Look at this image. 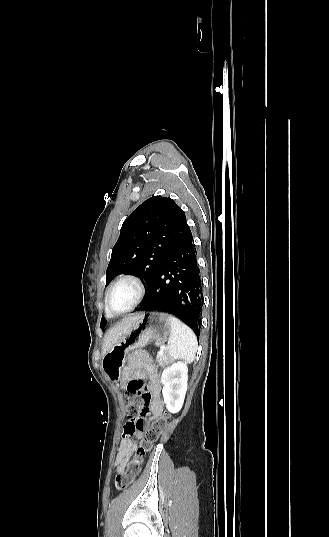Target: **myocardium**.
Listing matches in <instances>:
<instances>
[{"mask_svg":"<svg viewBox=\"0 0 329 537\" xmlns=\"http://www.w3.org/2000/svg\"><path fill=\"white\" fill-rule=\"evenodd\" d=\"M132 282L133 284L136 285L137 289H138V297L136 299V301L132 304V306L130 308H128L127 310L123 311V312H115L112 310L111 306H110V295L112 293V291L122 282ZM145 292H146V288H145V284L144 282L142 281V279L140 277H138L137 275H134V274H125V275H122L121 277H119L116 281H114L112 283V285L108 288L106 294H105V307H106V310L108 313H110L111 315H115V316H119V315H124L128 312H131L133 309H135L140 303L141 301L143 300L144 296H145Z\"/></svg>","mask_w":329,"mask_h":537,"instance_id":"f54148a6","label":"myocardium"}]
</instances>
